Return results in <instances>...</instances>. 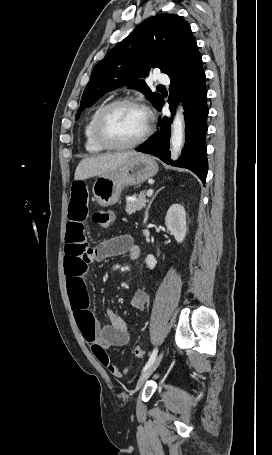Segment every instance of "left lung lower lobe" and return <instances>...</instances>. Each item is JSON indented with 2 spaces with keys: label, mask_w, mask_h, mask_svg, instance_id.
Returning a JSON list of instances; mask_svg holds the SVG:
<instances>
[{
  "label": "left lung lower lobe",
  "mask_w": 272,
  "mask_h": 455,
  "mask_svg": "<svg viewBox=\"0 0 272 455\" xmlns=\"http://www.w3.org/2000/svg\"><path fill=\"white\" fill-rule=\"evenodd\" d=\"M170 96L168 102L172 115L175 113L176 103L181 100L184 107L186 141L181 157L176 161L170 160L169 138L170 119L159 118V130L136 151L148 153L160 158L167 164L187 168L193 171L205 183L208 162L205 135L208 127L206 119L208 115L207 90L205 86V72L202 67L201 56L191 62L181 71L169 76ZM163 98L156 108L162 109Z\"/></svg>",
  "instance_id": "0a47b994"
}]
</instances>
